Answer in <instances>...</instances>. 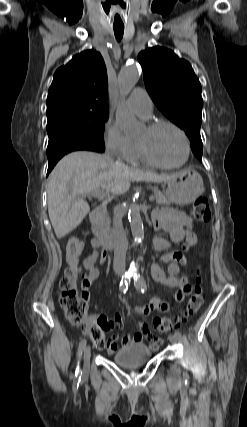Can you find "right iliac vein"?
I'll use <instances>...</instances> for the list:
<instances>
[{
	"mask_svg": "<svg viewBox=\"0 0 247 427\" xmlns=\"http://www.w3.org/2000/svg\"><path fill=\"white\" fill-rule=\"evenodd\" d=\"M90 354H91L90 346H86L84 349V355H83L85 372L89 369Z\"/></svg>",
	"mask_w": 247,
	"mask_h": 427,
	"instance_id": "63e3f726",
	"label": "right iliac vein"
}]
</instances>
